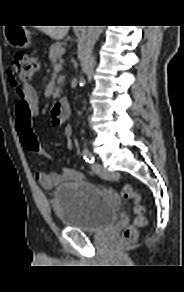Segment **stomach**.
<instances>
[{"instance_id":"obj_1","label":"stomach","mask_w":184,"mask_h":292,"mask_svg":"<svg viewBox=\"0 0 184 292\" xmlns=\"http://www.w3.org/2000/svg\"><path fill=\"white\" fill-rule=\"evenodd\" d=\"M5 38L13 48L23 49L31 46V32L24 26L6 27Z\"/></svg>"}]
</instances>
